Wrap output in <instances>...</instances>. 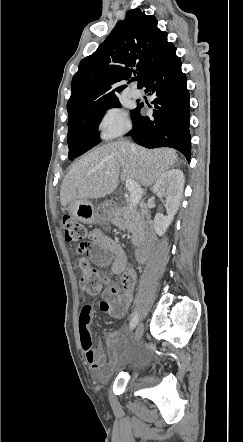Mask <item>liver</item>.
I'll return each mask as SVG.
<instances>
[{
    "instance_id": "6515ba94",
    "label": "liver",
    "mask_w": 243,
    "mask_h": 442,
    "mask_svg": "<svg viewBox=\"0 0 243 442\" xmlns=\"http://www.w3.org/2000/svg\"><path fill=\"white\" fill-rule=\"evenodd\" d=\"M178 159L173 149H146L124 140L99 146L72 164L60 189L61 205L105 197L119 178L151 186Z\"/></svg>"
}]
</instances>
